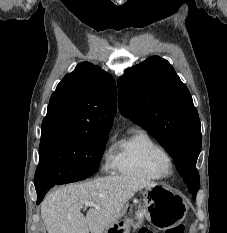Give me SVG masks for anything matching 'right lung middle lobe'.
I'll return each instance as SVG.
<instances>
[{"instance_id": "obj_1", "label": "right lung middle lobe", "mask_w": 227, "mask_h": 233, "mask_svg": "<svg viewBox=\"0 0 227 233\" xmlns=\"http://www.w3.org/2000/svg\"><path fill=\"white\" fill-rule=\"evenodd\" d=\"M108 133L52 131L41 135L36 190L83 180L99 168Z\"/></svg>"}]
</instances>
